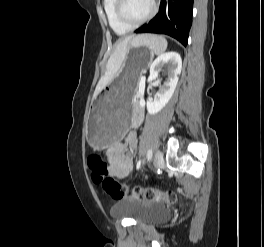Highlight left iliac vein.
I'll list each match as a JSON object with an SVG mask.
<instances>
[{
    "mask_svg": "<svg viewBox=\"0 0 264 247\" xmlns=\"http://www.w3.org/2000/svg\"><path fill=\"white\" fill-rule=\"evenodd\" d=\"M164 163L163 154L160 150H158L154 157V166L155 168H161Z\"/></svg>",
    "mask_w": 264,
    "mask_h": 247,
    "instance_id": "1",
    "label": "left iliac vein"
}]
</instances>
